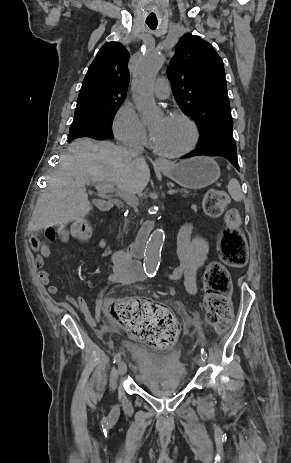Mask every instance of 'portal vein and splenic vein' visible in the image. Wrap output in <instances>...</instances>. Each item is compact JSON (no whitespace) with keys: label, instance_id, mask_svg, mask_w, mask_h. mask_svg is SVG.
Masks as SVG:
<instances>
[{"label":"portal vein and splenic vein","instance_id":"18ae733b","mask_svg":"<svg viewBox=\"0 0 291 463\" xmlns=\"http://www.w3.org/2000/svg\"><path fill=\"white\" fill-rule=\"evenodd\" d=\"M95 188L103 193V194H110V193H115L118 197L124 199L129 205L135 207L138 205V198L134 196L133 194H128L126 192H123L121 190H118L114 187L113 184L107 183V182H95L94 183ZM168 194H176L177 190L176 189H169L167 191Z\"/></svg>","mask_w":291,"mask_h":463}]
</instances>
